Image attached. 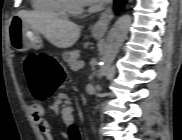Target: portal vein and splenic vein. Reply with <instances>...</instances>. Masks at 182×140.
Listing matches in <instances>:
<instances>
[{
	"mask_svg": "<svg viewBox=\"0 0 182 140\" xmlns=\"http://www.w3.org/2000/svg\"><path fill=\"white\" fill-rule=\"evenodd\" d=\"M84 65H85V62L83 60L79 61L78 68H82V67H84Z\"/></svg>",
	"mask_w": 182,
	"mask_h": 140,
	"instance_id": "1",
	"label": "portal vein and splenic vein"
}]
</instances>
